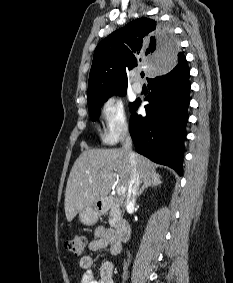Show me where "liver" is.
Masks as SVG:
<instances>
[{"mask_svg":"<svg viewBox=\"0 0 233 283\" xmlns=\"http://www.w3.org/2000/svg\"><path fill=\"white\" fill-rule=\"evenodd\" d=\"M140 181L146 183L157 175L156 165L133 153ZM131 177L129 153L124 149H87L76 159L67 181L64 209L71 222L78 212L104 200L118 178L127 190Z\"/></svg>","mask_w":233,"mask_h":283,"instance_id":"6515ba94","label":"liver"}]
</instances>
